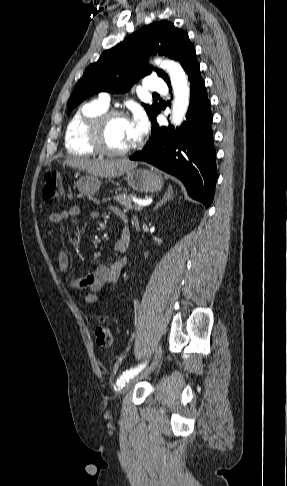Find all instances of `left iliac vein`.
I'll list each match as a JSON object with an SVG mask.
<instances>
[{
	"label": "left iliac vein",
	"instance_id": "left-iliac-vein-1",
	"mask_svg": "<svg viewBox=\"0 0 287 486\" xmlns=\"http://www.w3.org/2000/svg\"><path fill=\"white\" fill-rule=\"evenodd\" d=\"M161 354H162V350H161V346L158 345L157 346V349H156V353H155V357H154V360L152 362V364L149 366V368L143 373L141 374L140 376H137L135 378H132L130 379L129 381H127L123 387V389L121 390V394L124 395L125 393L128 392V390L130 389V387L137 381H139L140 379L146 377L147 375H149L151 372H153L156 367L158 366V363L160 361V358H161Z\"/></svg>",
	"mask_w": 287,
	"mask_h": 486
}]
</instances>
